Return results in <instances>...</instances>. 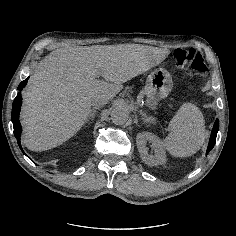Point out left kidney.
Listing matches in <instances>:
<instances>
[{
    "instance_id": "left-kidney-1",
    "label": "left kidney",
    "mask_w": 236,
    "mask_h": 236,
    "mask_svg": "<svg viewBox=\"0 0 236 236\" xmlns=\"http://www.w3.org/2000/svg\"><path fill=\"white\" fill-rule=\"evenodd\" d=\"M154 150V155H148L147 143ZM136 143L142 160L150 166L163 165L166 163L165 148L160 139L154 134L143 132L139 133Z\"/></svg>"
}]
</instances>
